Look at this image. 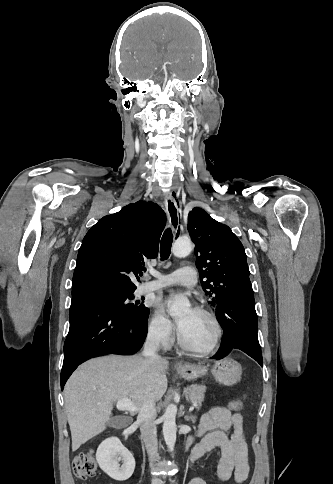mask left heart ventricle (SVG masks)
I'll list each match as a JSON object with an SVG mask.
<instances>
[{
  "label": "left heart ventricle",
  "mask_w": 333,
  "mask_h": 484,
  "mask_svg": "<svg viewBox=\"0 0 333 484\" xmlns=\"http://www.w3.org/2000/svg\"><path fill=\"white\" fill-rule=\"evenodd\" d=\"M182 324L179 331L184 340L192 347L203 349L210 346L215 337V326L204 314L186 309L179 315Z\"/></svg>",
  "instance_id": "obj_1"
}]
</instances>
